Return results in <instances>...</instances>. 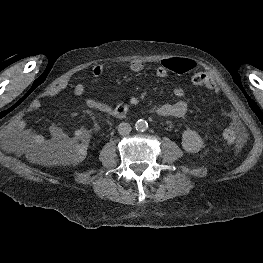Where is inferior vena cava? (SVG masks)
Returning <instances> with one entry per match:
<instances>
[{
    "label": "inferior vena cava",
    "instance_id": "1",
    "mask_svg": "<svg viewBox=\"0 0 263 263\" xmlns=\"http://www.w3.org/2000/svg\"><path fill=\"white\" fill-rule=\"evenodd\" d=\"M118 132L121 135H128L131 132V126L129 123L122 122L118 125Z\"/></svg>",
    "mask_w": 263,
    "mask_h": 263
}]
</instances>
